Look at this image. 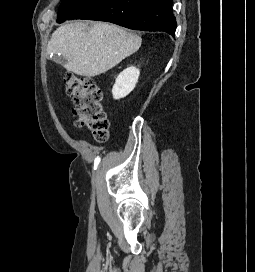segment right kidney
<instances>
[{
	"instance_id": "1",
	"label": "right kidney",
	"mask_w": 255,
	"mask_h": 272,
	"mask_svg": "<svg viewBox=\"0 0 255 272\" xmlns=\"http://www.w3.org/2000/svg\"><path fill=\"white\" fill-rule=\"evenodd\" d=\"M140 75L136 67H128L116 78L112 89L113 98L118 100L126 97L136 86Z\"/></svg>"
}]
</instances>
